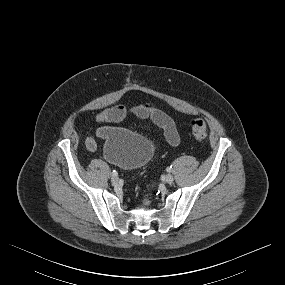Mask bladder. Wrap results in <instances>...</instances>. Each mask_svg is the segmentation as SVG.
<instances>
[{
	"mask_svg": "<svg viewBox=\"0 0 285 285\" xmlns=\"http://www.w3.org/2000/svg\"><path fill=\"white\" fill-rule=\"evenodd\" d=\"M105 158L127 170L146 165L154 155V144L148 138L125 128L109 127L104 135Z\"/></svg>",
	"mask_w": 285,
	"mask_h": 285,
	"instance_id": "31cf9c89",
	"label": "bladder"
}]
</instances>
